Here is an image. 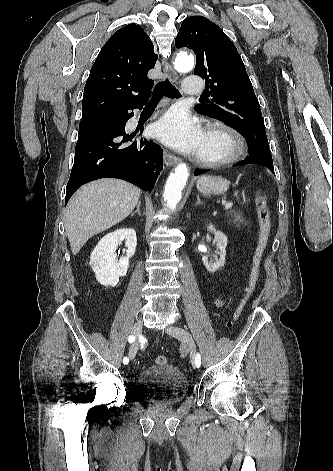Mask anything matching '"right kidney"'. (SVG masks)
<instances>
[{"label":"right kidney","instance_id":"ca27d5eb","mask_svg":"<svg viewBox=\"0 0 333 471\" xmlns=\"http://www.w3.org/2000/svg\"><path fill=\"white\" fill-rule=\"evenodd\" d=\"M123 240H125L127 247L126 256L117 262L114 253ZM136 245V233L130 228L119 229L104 236L90 257V266L95 272L96 280L106 287L116 286L120 277L127 274L129 258L134 255Z\"/></svg>","mask_w":333,"mask_h":471}]
</instances>
